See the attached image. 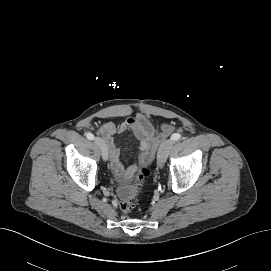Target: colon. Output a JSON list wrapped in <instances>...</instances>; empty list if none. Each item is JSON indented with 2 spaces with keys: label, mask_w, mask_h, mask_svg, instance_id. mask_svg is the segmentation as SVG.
Returning a JSON list of instances; mask_svg holds the SVG:
<instances>
[{
  "label": "colon",
  "mask_w": 271,
  "mask_h": 271,
  "mask_svg": "<svg viewBox=\"0 0 271 271\" xmlns=\"http://www.w3.org/2000/svg\"><path fill=\"white\" fill-rule=\"evenodd\" d=\"M150 174V169L148 166H143L137 176V183L140 185L142 181H144ZM136 206V202L134 198H128L123 200L120 203V209L123 213L129 214L131 213Z\"/></svg>",
  "instance_id": "colon-1"
}]
</instances>
